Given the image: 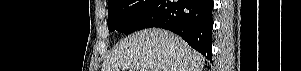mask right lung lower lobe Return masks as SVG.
<instances>
[{
  "label": "right lung lower lobe",
  "mask_w": 301,
  "mask_h": 71,
  "mask_svg": "<svg viewBox=\"0 0 301 71\" xmlns=\"http://www.w3.org/2000/svg\"><path fill=\"white\" fill-rule=\"evenodd\" d=\"M213 5L212 0H157L142 29L170 30L212 62Z\"/></svg>",
  "instance_id": "98d812e1"
}]
</instances>
